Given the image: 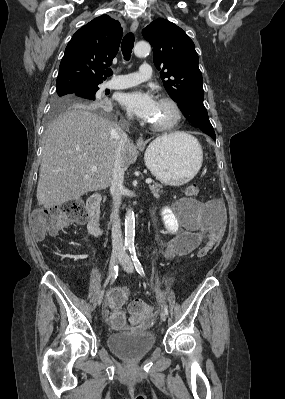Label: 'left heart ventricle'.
I'll return each mask as SVG.
<instances>
[{"label": "left heart ventricle", "mask_w": 285, "mask_h": 399, "mask_svg": "<svg viewBox=\"0 0 285 399\" xmlns=\"http://www.w3.org/2000/svg\"><path fill=\"white\" fill-rule=\"evenodd\" d=\"M174 119L173 109L166 103L158 102L156 113L151 121L153 124H166Z\"/></svg>", "instance_id": "left-heart-ventricle-1"}]
</instances>
